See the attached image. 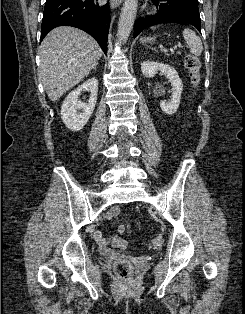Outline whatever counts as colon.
Listing matches in <instances>:
<instances>
[{
    "mask_svg": "<svg viewBox=\"0 0 245 314\" xmlns=\"http://www.w3.org/2000/svg\"><path fill=\"white\" fill-rule=\"evenodd\" d=\"M185 66L188 69L191 77V82L194 87H197L200 81L199 68L200 63L198 59L194 56H188L185 60ZM122 229L125 230V227L122 225ZM148 246L153 249H159L162 246V240L158 237L153 238ZM115 271L124 279H130L132 276V264L126 259H119L114 264Z\"/></svg>",
    "mask_w": 245,
    "mask_h": 314,
    "instance_id": "obj_1",
    "label": "colon"
}]
</instances>
